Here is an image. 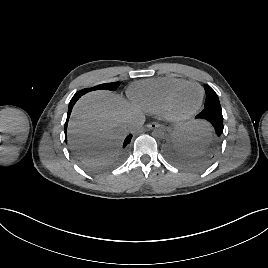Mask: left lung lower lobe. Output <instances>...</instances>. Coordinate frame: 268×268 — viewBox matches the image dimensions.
Segmentation results:
<instances>
[{
	"mask_svg": "<svg viewBox=\"0 0 268 268\" xmlns=\"http://www.w3.org/2000/svg\"><path fill=\"white\" fill-rule=\"evenodd\" d=\"M206 116L210 119L211 125L215 126L218 130V137L214 141V143H218L222 134H223V116L222 110L217 108H205L202 112H200L197 116Z\"/></svg>",
	"mask_w": 268,
	"mask_h": 268,
	"instance_id": "0a47b994",
	"label": "left lung lower lobe"
}]
</instances>
